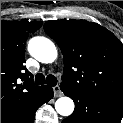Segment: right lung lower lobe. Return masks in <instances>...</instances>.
Masks as SVG:
<instances>
[{"instance_id": "1", "label": "right lung lower lobe", "mask_w": 123, "mask_h": 123, "mask_svg": "<svg viewBox=\"0 0 123 123\" xmlns=\"http://www.w3.org/2000/svg\"><path fill=\"white\" fill-rule=\"evenodd\" d=\"M52 98V87L44 85L33 101L1 117V123H34L35 112L37 109Z\"/></svg>"}]
</instances>
